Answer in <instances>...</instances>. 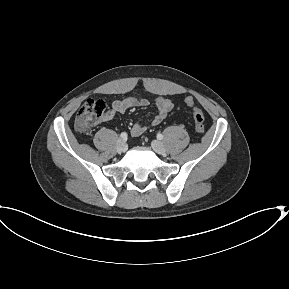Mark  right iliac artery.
<instances>
[{
  "label": "right iliac artery",
  "mask_w": 289,
  "mask_h": 289,
  "mask_svg": "<svg viewBox=\"0 0 289 289\" xmlns=\"http://www.w3.org/2000/svg\"><path fill=\"white\" fill-rule=\"evenodd\" d=\"M127 133H125V132H123V133H121V135H120V137L122 138V139H127Z\"/></svg>",
  "instance_id": "obj_1"
}]
</instances>
